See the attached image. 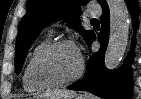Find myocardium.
Returning <instances> with one entry per match:
<instances>
[{"label":"myocardium","mask_w":141,"mask_h":99,"mask_svg":"<svg viewBox=\"0 0 141 99\" xmlns=\"http://www.w3.org/2000/svg\"><path fill=\"white\" fill-rule=\"evenodd\" d=\"M64 46L75 47L74 43L69 40H58V41H54V42L47 44L44 48H42L37 53V55L35 56V58L32 61L31 68H30V76H31L32 80L34 81V83L41 85V86H44V87H47V88H49V87H63V86H67V85L77 81L83 75L84 62L80 56L79 57L80 63H79L78 71L72 77H70L66 80L55 81V80L45 79L42 76H40L38 68H39V64L41 63V61L52 51H54L60 47H64Z\"/></svg>","instance_id":"obj_1"}]
</instances>
